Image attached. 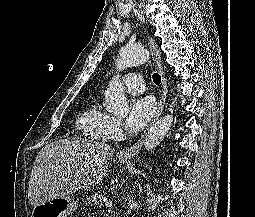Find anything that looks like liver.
I'll return each instance as SVG.
<instances>
[{
	"instance_id": "6515ba94",
	"label": "liver",
	"mask_w": 255,
	"mask_h": 217,
	"mask_svg": "<svg viewBox=\"0 0 255 217\" xmlns=\"http://www.w3.org/2000/svg\"><path fill=\"white\" fill-rule=\"evenodd\" d=\"M113 154L111 146L86 138L59 140L44 146L31 172L30 204L37 206L98 184L106 176Z\"/></svg>"
}]
</instances>
